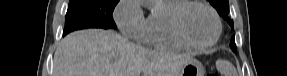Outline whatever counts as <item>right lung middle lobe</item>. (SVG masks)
<instances>
[{"label": "right lung middle lobe", "mask_w": 287, "mask_h": 76, "mask_svg": "<svg viewBox=\"0 0 287 76\" xmlns=\"http://www.w3.org/2000/svg\"><path fill=\"white\" fill-rule=\"evenodd\" d=\"M119 0H70L63 35L86 28L116 29L112 12Z\"/></svg>", "instance_id": "obj_1"}]
</instances>
